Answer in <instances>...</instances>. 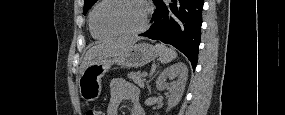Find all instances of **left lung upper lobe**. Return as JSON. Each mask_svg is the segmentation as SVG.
Listing matches in <instances>:
<instances>
[{"instance_id":"5c2ea615","label":"left lung upper lobe","mask_w":285,"mask_h":115,"mask_svg":"<svg viewBox=\"0 0 285 115\" xmlns=\"http://www.w3.org/2000/svg\"><path fill=\"white\" fill-rule=\"evenodd\" d=\"M96 1L97 0H85L83 14H86Z\"/></svg>"}]
</instances>
